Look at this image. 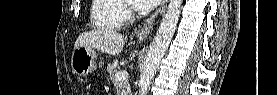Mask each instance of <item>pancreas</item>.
Here are the masks:
<instances>
[{"instance_id": "cf45deb5", "label": "pancreas", "mask_w": 277, "mask_h": 95, "mask_svg": "<svg viewBox=\"0 0 277 95\" xmlns=\"http://www.w3.org/2000/svg\"><path fill=\"white\" fill-rule=\"evenodd\" d=\"M107 71L111 81L115 85L117 95H129L131 92L129 82L127 80L117 81L115 79V74L119 71L118 61L114 60L112 63H109L107 66Z\"/></svg>"}]
</instances>
